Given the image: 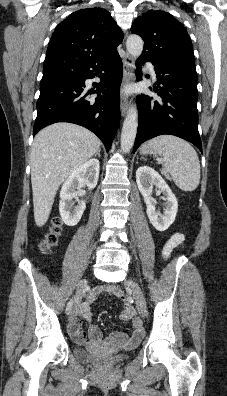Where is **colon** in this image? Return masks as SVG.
I'll return each mask as SVG.
<instances>
[{
  "label": "colon",
  "mask_w": 227,
  "mask_h": 396,
  "mask_svg": "<svg viewBox=\"0 0 227 396\" xmlns=\"http://www.w3.org/2000/svg\"><path fill=\"white\" fill-rule=\"evenodd\" d=\"M60 232H61V223L58 219H56L53 223L50 232L46 235V237L42 241L41 249L49 250L50 248L55 246ZM119 298L124 299V295L122 293L119 294Z\"/></svg>",
  "instance_id": "obj_1"
}]
</instances>
